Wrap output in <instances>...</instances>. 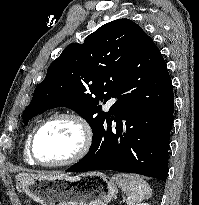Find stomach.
<instances>
[{
    "mask_svg": "<svg viewBox=\"0 0 199 205\" xmlns=\"http://www.w3.org/2000/svg\"><path fill=\"white\" fill-rule=\"evenodd\" d=\"M17 184L40 205H107L117 192L115 181L102 172L76 176L21 173Z\"/></svg>",
    "mask_w": 199,
    "mask_h": 205,
    "instance_id": "0dacf381",
    "label": "stomach"
}]
</instances>
